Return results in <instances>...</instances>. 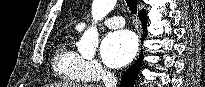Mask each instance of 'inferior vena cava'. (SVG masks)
<instances>
[{"instance_id":"602c4592","label":"inferior vena cava","mask_w":205,"mask_h":87,"mask_svg":"<svg viewBox=\"0 0 205 87\" xmlns=\"http://www.w3.org/2000/svg\"><path fill=\"white\" fill-rule=\"evenodd\" d=\"M102 80H103L105 87H116L117 86V78L110 71H105L102 74Z\"/></svg>"}]
</instances>
